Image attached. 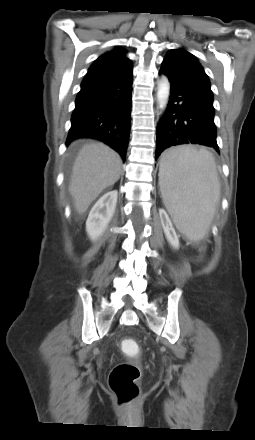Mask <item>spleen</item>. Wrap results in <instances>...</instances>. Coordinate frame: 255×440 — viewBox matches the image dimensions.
I'll return each instance as SVG.
<instances>
[{
	"label": "spleen",
	"instance_id": "3e777b00",
	"mask_svg": "<svg viewBox=\"0 0 255 440\" xmlns=\"http://www.w3.org/2000/svg\"><path fill=\"white\" fill-rule=\"evenodd\" d=\"M159 185L165 206L176 227L190 240L205 237L220 196V183L212 153L180 146L161 159Z\"/></svg>",
	"mask_w": 255,
	"mask_h": 440
}]
</instances>
